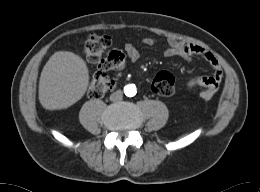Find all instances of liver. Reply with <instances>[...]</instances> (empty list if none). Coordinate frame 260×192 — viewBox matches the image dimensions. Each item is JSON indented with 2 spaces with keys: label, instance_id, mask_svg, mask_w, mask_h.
Returning a JSON list of instances; mask_svg holds the SVG:
<instances>
[{
  "label": "liver",
  "instance_id": "liver-1",
  "mask_svg": "<svg viewBox=\"0 0 260 192\" xmlns=\"http://www.w3.org/2000/svg\"><path fill=\"white\" fill-rule=\"evenodd\" d=\"M88 84V67L79 55L55 52L41 72L39 101L48 110L68 108L83 97Z\"/></svg>",
  "mask_w": 260,
  "mask_h": 192
}]
</instances>
